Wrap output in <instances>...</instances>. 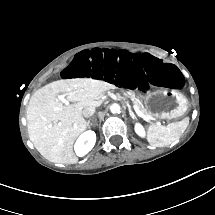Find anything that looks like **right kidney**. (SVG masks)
Here are the masks:
<instances>
[{
  "label": "right kidney",
  "mask_w": 215,
  "mask_h": 215,
  "mask_svg": "<svg viewBox=\"0 0 215 215\" xmlns=\"http://www.w3.org/2000/svg\"><path fill=\"white\" fill-rule=\"evenodd\" d=\"M96 143V134L94 131L88 130L82 133L77 139L74 149L76 155L79 157L85 156L89 151L92 150Z\"/></svg>",
  "instance_id": "right-kidney-1"
}]
</instances>
